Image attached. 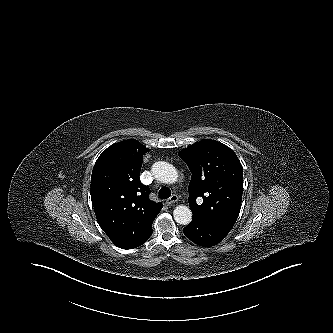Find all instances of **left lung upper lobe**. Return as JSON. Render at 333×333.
Here are the masks:
<instances>
[{"label":"left lung upper lobe","mask_w":333,"mask_h":333,"mask_svg":"<svg viewBox=\"0 0 333 333\" xmlns=\"http://www.w3.org/2000/svg\"><path fill=\"white\" fill-rule=\"evenodd\" d=\"M192 177L188 187L193 216L228 231L234 226L241 208L243 168L228 146L202 140L179 152ZM202 197L203 203L196 199Z\"/></svg>","instance_id":"5c2ea615"}]
</instances>
